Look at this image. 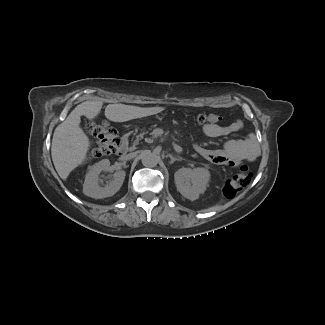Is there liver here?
Instances as JSON below:
<instances>
[{"label": "liver", "mask_w": 325, "mask_h": 325, "mask_svg": "<svg viewBox=\"0 0 325 325\" xmlns=\"http://www.w3.org/2000/svg\"><path fill=\"white\" fill-rule=\"evenodd\" d=\"M103 101H85L77 105L68 117L59 124L53 134L51 155L61 179L66 180L76 167L87 158L90 140L80 127L81 116L92 120L98 116ZM164 107H138L125 104H109L105 116L113 122H125L160 113Z\"/></svg>", "instance_id": "1"}]
</instances>
